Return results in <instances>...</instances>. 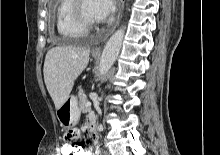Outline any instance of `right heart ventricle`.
Segmentation results:
<instances>
[{
    "mask_svg": "<svg viewBox=\"0 0 220 155\" xmlns=\"http://www.w3.org/2000/svg\"><path fill=\"white\" fill-rule=\"evenodd\" d=\"M74 0H60L56 9V29L66 39H77L86 35L87 30L79 26L72 17Z\"/></svg>",
    "mask_w": 220,
    "mask_h": 155,
    "instance_id": "1",
    "label": "right heart ventricle"
}]
</instances>
